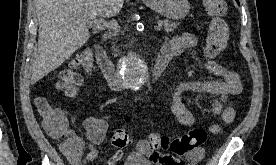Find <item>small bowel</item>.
<instances>
[{"instance_id":"c3829d8e","label":"small bowel","mask_w":276,"mask_h":165,"mask_svg":"<svg viewBox=\"0 0 276 165\" xmlns=\"http://www.w3.org/2000/svg\"><path fill=\"white\" fill-rule=\"evenodd\" d=\"M197 44V38L193 33L184 32L173 37L162 49L159 55H162L171 61L172 59L184 55L188 50L194 48ZM205 69L217 76L218 80L209 81H184L173 87L171 111L176 119L184 126L191 127L195 124L196 119L192 112L186 107L183 101V95L189 92L208 93L218 96V100L213 105V112L222 116L224 123H230L235 117L234 109L229 106L223 109V103L229 96L238 95L242 91V83L240 76L233 70H230L223 65L213 60H208L205 63ZM84 129L83 136L77 134L74 130H68L67 136L78 143L76 153H64L68 156L73 165H87L98 156L96 146L101 144L107 134L108 123L107 116L94 117L86 116L82 119ZM219 125H213L210 128L212 133L218 132ZM145 140L139 142L143 143ZM138 144V146H139ZM89 149L86 155H83V149ZM140 156L154 165H195L203 157V151L196 152L176 158L170 154L157 153L155 159H149L148 155L138 147ZM124 157L122 150H117L108 160V165H117Z\"/></svg>"}]
</instances>
